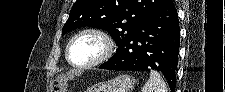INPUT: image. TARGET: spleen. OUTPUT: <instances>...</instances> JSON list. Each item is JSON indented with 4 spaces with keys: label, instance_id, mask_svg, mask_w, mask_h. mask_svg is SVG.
<instances>
[{
    "label": "spleen",
    "instance_id": "spleen-1",
    "mask_svg": "<svg viewBox=\"0 0 225 92\" xmlns=\"http://www.w3.org/2000/svg\"><path fill=\"white\" fill-rule=\"evenodd\" d=\"M142 92H168L166 83L157 71L150 72V78L142 88Z\"/></svg>",
    "mask_w": 225,
    "mask_h": 92
}]
</instances>
